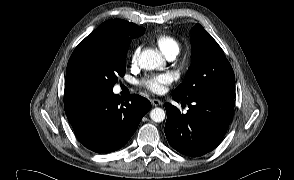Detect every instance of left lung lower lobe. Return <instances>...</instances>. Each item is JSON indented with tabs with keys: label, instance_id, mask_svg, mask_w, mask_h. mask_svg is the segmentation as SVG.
Returning <instances> with one entry per match:
<instances>
[{
	"label": "left lung lower lobe",
	"instance_id": "1",
	"mask_svg": "<svg viewBox=\"0 0 294 180\" xmlns=\"http://www.w3.org/2000/svg\"><path fill=\"white\" fill-rule=\"evenodd\" d=\"M172 98L188 105L183 114L165 103L167 121L164 132L169 144L178 152L196 157L212 151L222 140L234 113V99L213 96Z\"/></svg>",
	"mask_w": 294,
	"mask_h": 180
}]
</instances>
